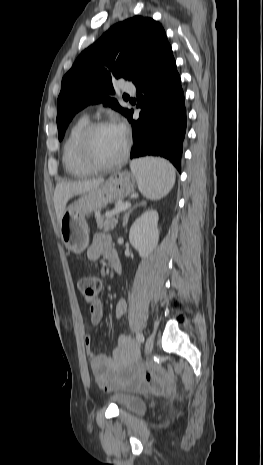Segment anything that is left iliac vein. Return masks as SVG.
Segmentation results:
<instances>
[{
  "mask_svg": "<svg viewBox=\"0 0 263 465\" xmlns=\"http://www.w3.org/2000/svg\"><path fill=\"white\" fill-rule=\"evenodd\" d=\"M153 346H154V338L152 336H148L145 342V350H144L145 356H148L152 352Z\"/></svg>",
  "mask_w": 263,
  "mask_h": 465,
  "instance_id": "4c4485c4",
  "label": "left iliac vein"
}]
</instances>
